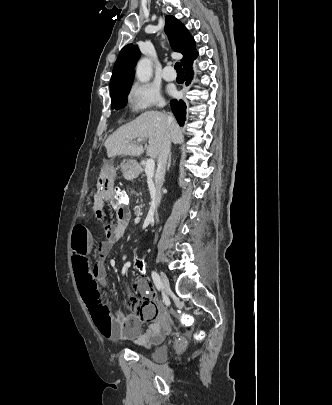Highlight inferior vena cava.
Wrapping results in <instances>:
<instances>
[{
  "instance_id": "obj_1",
  "label": "inferior vena cava",
  "mask_w": 332,
  "mask_h": 405,
  "mask_svg": "<svg viewBox=\"0 0 332 405\" xmlns=\"http://www.w3.org/2000/svg\"><path fill=\"white\" fill-rule=\"evenodd\" d=\"M160 106H163V104H161ZM167 123H168L169 127H171L172 124L174 123V118H173L172 114L167 115ZM170 149H171V140H170L169 135L167 134L164 137L163 142H162V147L160 150V154L158 156L157 170H156V174H155L154 202L156 205H159L160 201H161V187L164 182L166 165H167V160H168V156L170 153Z\"/></svg>"
}]
</instances>
